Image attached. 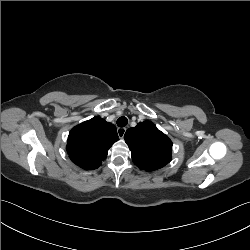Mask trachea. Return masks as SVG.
<instances>
[{"label": "trachea", "instance_id": "obj_1", "mask_svg": "<svg viewBox=\"0 0 250 250\" xmlns=\"http://www.w3.org/2000/svg\"><path fill=\"white\" fill-rule=\"evenodd\" d=\"M127 123H128V119L124 116L118 118V120H117V125L119 127H125L127 125Z\"/></svg>", "mask_w": 250, "mask_h": 250}]
</instances>
